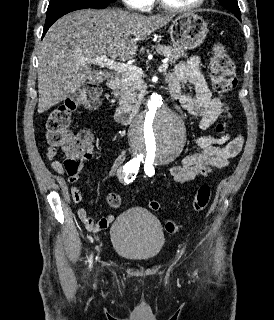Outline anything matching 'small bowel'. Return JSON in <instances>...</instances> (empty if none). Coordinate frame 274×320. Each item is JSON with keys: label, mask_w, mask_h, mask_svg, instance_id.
I'll list each match as a JSON object with an SVG mask.
<instances>
[{"label": "small bowel", "mask_w": 274, "mask_h": 320, "mask_svg": "<svg viewBox=\"0 0 274 320\" xmlns=\"http://www.w3.org/2000/svg\"><path fill=\"white\" fill-rule=\"evenodd\" d=\"M166 80L171 94L177 95L180 105L190 115L199 118L198 126L200 129L210 128L220 117L225 97L212 95L201 72L197 56H192L188 60L179 63L167 75ZM184 83H189L193 86L194 95H188L183 92L181 85ZM243 143L242 136L230 137L227 133L220 136L205 134L195 137L194 144L199 148V151L184 155L180 164L170 167L169 173L172 180L178 185H183L199 177L207 176L213 170L226 166L229 160L241 151ZM48 151L47 156H43V163H52V169L61 176L64 173V167L60 162L54 161L53 154L58 153V146H49ZM96 156L97 153L90 149L86 158L89 159ZM125 159L124 152L119 154L110 166L107 175L109 177L117 175ZM71 196L76 204H80L83 201L82 194L77 186L71 188ZM76 213L86 229L89 223L94 222L86 209L79 208ZM113 221L114 216L108 214L102 217L97 222V225L104 229Z\"/></svg>", "instance_id": "obj_1"}]
</instances>
